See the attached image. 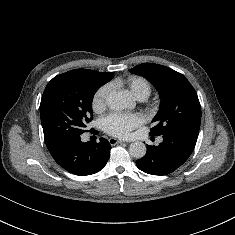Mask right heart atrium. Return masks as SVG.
Wrapping results in <instances>:
<instances>
[{"label":"right heart atrium","instance_id":"right-heart-atrium-1","mask_svg":"<svg viewBox=\"0 0 235 235\" xmlns=\"http://www.w3.org/2000/svg\"><path fill=\"white\" fill-rule=\"evenodd\" d=\"M110 92V84H104L96 90L92 98V108L95 112H101L105 109Z\"/></svg>","mask_w":235,"mask_h":235}]
</instances>
